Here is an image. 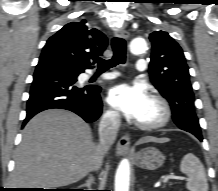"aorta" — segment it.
Returning a JSON list of instances; mask_svg holds the SVG:
<instances>
[{
	"instance_id": "1",
	"label": "aorta",
	"mask_w": 218,
	"mask_h": 191,
	"mask_svg": "<svg viewBox=\"0 0 218 191\" xmlns=\"http://www.w3.org/2000/svg\"><path fill=\"white\" fill-rule=\"evenodd\" d=\"M130 51L133 54H141L147 50V43L143 38H135L130 42ZM130 164L123 159L115 175V191H129Z\"/></svg>"
}]
</instances>
